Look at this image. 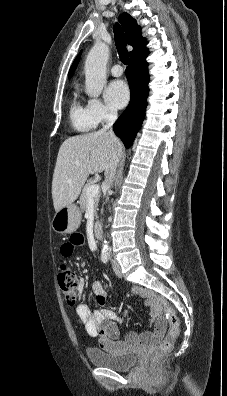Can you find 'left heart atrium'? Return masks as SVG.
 Returning a JSON list of instances; mask_svg holds the SVG:
<instances>
[{
    "instance_id": "1",
    "label": "left heart atrium",
    "mask_w": 227,
    "mask_h": 396,
    "mask_svg": "<svg viewBox=\"0 0 227 396\" xmlns=\"http://www.w3.org/2000/svg\"><path fill=\"white\" fill-rule=\"evenodd\" d=\"M129 96L128 86L122 80L111 82L105 90V99L114 108H123Z\"/></svg>"
}]
</instances>
